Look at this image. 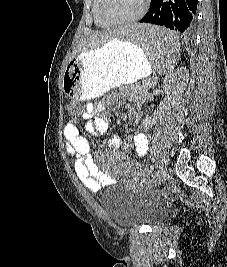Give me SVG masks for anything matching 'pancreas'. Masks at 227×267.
<instances>
[{
	"instance_id": "obj_1",
	"label": "pancreas",
	"mask_w": 227,
	"mask_h": 267,
	"mask_svg": "<svg viewBox=\"0 0 227 267\" xmlns=\"http://www.w3.org/2000/svg\"><path fill=\"white\" fill-rule=\"evenodd\" d=\"M150 87H151V83L148 79H144L142 83H137L134 86L136 90H139L143 93H146L150 89Z\"/></svg>"
}]
</instances>
